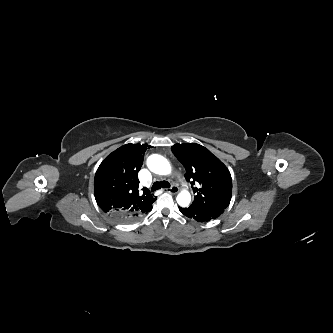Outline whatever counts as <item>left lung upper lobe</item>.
<instances>
[{
	"label": "left lung upper lobe",
	"instance_id": "5c2ea615",
	"mask_svg": "<svg viewBox=\"0 0 333 333\" xmlns=\"http://www.w3.org/2000/svg\"><path fill=\"white\" fill-rule=\"evenodd\" d=\"M173 154L186 169L185 178L194 188L192 204L225 210L231 200L232 179L227 167L207 148L196 144H175Z\"/></svg>",
	"mask_w": 333,
	"mask_h": 333
}]
</instances>
